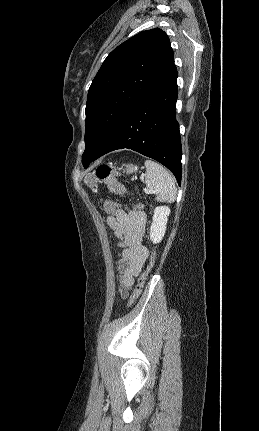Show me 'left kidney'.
I'll return each mask as SVG.
<instances>
[{
	"label": "left kidney",
	"mask_w": 259,
	"mask_h": 431,
	"mask_svg": "<svg viewBox=\"0 0 259 431\" xmlns=\"http://www.w3.org/2000/svg\"><path fill=\"white\" fill-rule=\"evenodd\" d=\"M170 209L166 206H158L154 210L153 221L150 227V239L153 243H159L166 232V225Z\"/></svg>",
	"instance_id": "obj_1"
}]
</instances>
